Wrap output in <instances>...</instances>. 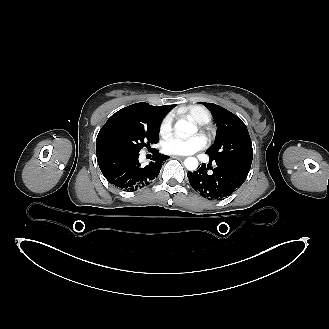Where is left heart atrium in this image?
Listing matches in <instances>:
<instances>
[{"label":"left heart atrium","mask_w":329,"mask_h":329,"mask_svg":"<svg viewBox=\"0 0 329 329\" xmlns=\"http://www.w3.org/2000/svg\"><path fill=\"white\" fill-rule=\"evenodd\" d=\"M206 146V140L202 135L184 139L180 137H170L163 143L166 153L174 155H189L202 150Z\"/></svg>","instance_id":"39dd6f15"}]
</instances>
